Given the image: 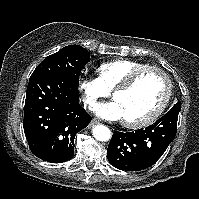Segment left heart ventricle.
Segmentation results:
<instances>
[{"label":"left heart ventricle","instance_id":"left-heart-ventricle-1","mask_svg":"<svg viewBox=\"0 0 199 199\" xmlns=\"http://www.w3.org/2000/svg\"><path fill=\"white\" fill-rule=\"evenodd\" d=\"M166 89L164 77L157 72H149L132 89L116 94L114 100L122 110L123 119L136 121L147 117L158 107Z\"/></svg>","mask_w":199,"mask_h":199}]
</instances>
